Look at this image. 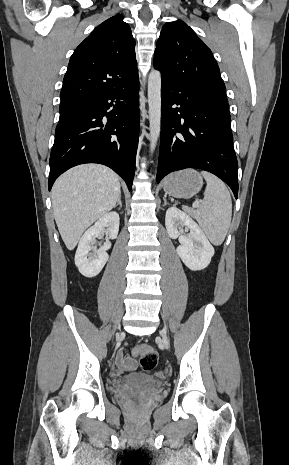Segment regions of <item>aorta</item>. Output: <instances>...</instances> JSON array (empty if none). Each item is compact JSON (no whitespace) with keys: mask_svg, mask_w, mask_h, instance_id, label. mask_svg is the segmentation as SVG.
<instances>
[{"mask_svg":"<svg viewBox=\"0 0 289 465\" xmlns=\"http://www.w3.org/2000/svg\"><path fill=\"white\" fill-rule=\"evenodd\" d=\"M161 73L151 70L148 77L150 152L155 150L161 130Z\"/></svg>","mask_w":289,"mask_h":465,"instance_id":"aorta-1","label":"aorta"}]
</instances>
